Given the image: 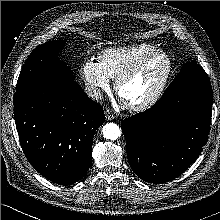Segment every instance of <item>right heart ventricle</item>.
I'll return each mask as SVG.
<instances>
[{
  "instance_id": "1",
  "label": "right heart ventricle",
  "mask_w": 220,
  "mask_h": 220,
  "mask_svg": "<svg viewBox=\"0 0 220 220\" xmlns=\"http://www.w3.org/2000/svg\"><path fill=\"white\" fill-rule=\"evenodd\" d=\"M153 50H156V47L147 43L113 46L101 52L99 63L109 78L116 79L141 57Z\"/></svg>"
}]
</instances>
